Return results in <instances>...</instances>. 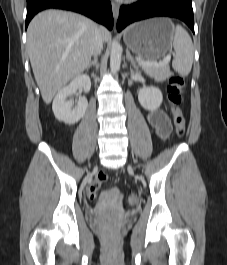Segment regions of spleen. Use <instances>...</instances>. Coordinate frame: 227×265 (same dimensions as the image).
Listing matches in <instances>:
<instances>
[{"label": "spleen", "instance_id": "3e777b00", "mask_svg": "<svg viewBox=\"0 0 227 265\" xmlns=\"http://www.w3.org/2000/svg\"><path fill=\"white\" fill-rule=\"evenodd\" d=\"M172 45L176 53L172 67L180 75L187 76L192 68L194 48L191 37L180 25L175 28Z\"/></svg>", "mask_w": 227, "mask_h": 265}]
</instances>
